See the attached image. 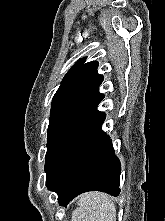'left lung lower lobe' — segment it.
Here are the masks:
<instances>
[{
	"mask_svg": "<svg viewBox=\"0 0 165 221\" xmlns=\"http://www.w3.org/2000/svg\"><path fill=\"white\" fill-rule=\"evenodd\" d=\"M97 106L58 140L46 158V186L58 194L61 206L87 191L112 196L120 192L121 164L110 137L101 130L105 114Z\"/></svg>",
	"mask_w": 165,
	"mask_h": 221,
	"instance_id": "left-lung-lower-lobe-1",
	"label": "left lung lower lobe"
}]
</instances>
